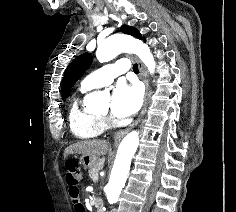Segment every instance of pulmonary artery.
I'll return each mask as SVG.
<instances>
[{"mask_svg":"<svg viewBox=\"0 0 236 212\" xmlns=\"http://www.w3.org/2000/svg\"><path fill=\"white\" fill-rule=\"evenodd\" d=\"M130 63L127 59H121L114 64L106 65L88 74L82 81V86L89 89L110 85L114 78L128 71Z\"/></svg>","mask_w":236,"mask_h":212,"instance_id":"e3ab8cb5","label":"pulmonary artery"}]
</instances>
